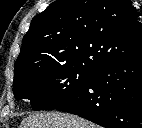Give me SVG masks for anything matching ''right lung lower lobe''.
Masks as SVG:
<instances>
[{
	"instance_id": "98d812e1",
	"label": "right lung lower lobe",
	"mask_w": 142,
	"mask_h": 128,
	"mask_svg": "<svg viewBox=\"0 0 142 128\" xmlns=\"http://www.w3.org/2000/svg\"><path fill=\"white\" fill-rule=\"evenodd\" d=\"M57 110L105 128H142V51L94 71L85 89Z\"/></svg>"
}]
</instances>
